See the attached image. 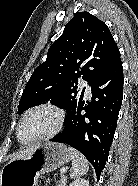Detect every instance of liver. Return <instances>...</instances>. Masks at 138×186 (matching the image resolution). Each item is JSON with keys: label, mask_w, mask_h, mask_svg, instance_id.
<instances>
[{"label": "liver", "mask_w": 138, "mask_h": 186, "mask_svg": "<svg viewBox=\"0 0 138 186\" xmlns=\"http://www.w3.org/2000/svg\"><path fill=\"white\" fill-rule=\"evenodd\" d=\"M38 146H33V147H29L25 150L19 151L18 153H16L13 158H21V157H25L27 155H29L32 151H34V149H36Z\"/></svg>", "instance_id": "1"}]
</instances>
